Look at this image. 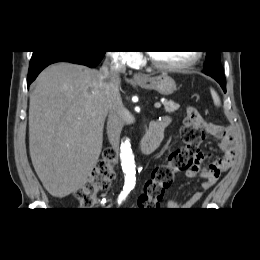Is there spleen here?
Here are the masks:
<instances>
[{"instance_id":"3e777b00","label":"spleen","mask_w":260,"mask_h":260,"mask_svg":"<svg viewBox=\"0 0 260 260\" xmlns=\"http://www.w3.org/2000/svg\"><path fill=\"white\" fill-rule=\"evenodd\" d=\"M211 95L213 98L214 105L219 107L221 105L220 98L214 89H211Z\"/></svg>"}]
</instances>
